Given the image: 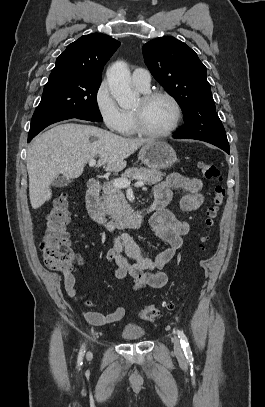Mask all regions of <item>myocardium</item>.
<instances>
[{
    "mask_svg": "<svg viewBox=\"0 0 265 407\" xmlns=\"http://www.w3.org/2000/svg\"><path fill=\"white\" fill-rule=\"evenodd\" d=\"M158 97H163L168 99L172 105L174 106L175 109V118L171 126L162 131V132H153L145 128L142 120V115L139 111H131L132 114V119H133V127L134 130L137 134L143 136V137H148V138H164L169 135H171L179 126L182 116H183V111L180 102L178 99L171 93L164 91V90H152V91H147L143 94L141 97V100L143 103H148L152 101L155 98Z\"/></svg>",
    "mask_w": 265,
    "mask_h": 407,
    "instance_id": "obj_1",
    "label": "myocardium"
}]
</instances>
